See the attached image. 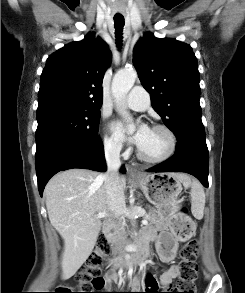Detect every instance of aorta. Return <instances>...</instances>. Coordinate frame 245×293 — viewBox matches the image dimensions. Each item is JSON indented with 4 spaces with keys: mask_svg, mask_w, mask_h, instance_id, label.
Wrapping results in <instances>:
<instances>
[{
    "mask_svg": "<svg viewBox=\"0 0 245 293\" xmlns=\"http://www.w3.org/2000/svg\"><path fill=\"white\" fill-rule=\"evenodd\" d=\"M137 78V73L133 69H125L117 72L112 80V94L117 102L121 101L125 95L130 91L133 87L135 80ZM120 114L125 117H128V113L125 109H119ZM135 130L133 125L128 126V132L132 133ZM134 213L131 215V219L134 222Z\"/></svg>",
    "mask_w": 245,
    "mask_h": 293,
    "instance_id": "762f6f07",
    "label": "aorta"
}]
</instances>
